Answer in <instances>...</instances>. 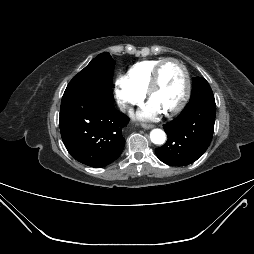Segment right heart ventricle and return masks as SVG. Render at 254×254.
I'll list each match as a JSON object with an SVG mask.
<instances>
[{
    "label": "right heart ventricle",
    "instance_id": "right-heart-ventricle-1",
    "mask_svg": "<svg viewBox=\"0 0 254 254\" xmlns=\"http://www.w3.org/2000/svg\"><path fill=\"white\" fill-rule=\"evenodd\" d=\"M162 60L163 58L140 61L129 68L127 76L139 90L145 93L156 66Z\"/></svg>",
    "mask_w": 254,
    "mask_h": 254
}]
</instances>
